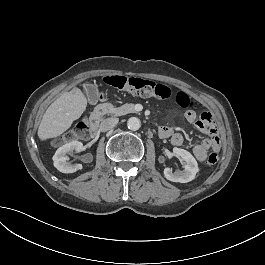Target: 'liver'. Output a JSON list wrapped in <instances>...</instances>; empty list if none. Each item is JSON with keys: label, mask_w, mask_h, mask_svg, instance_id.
<instances>
[{"label": "liver", "mask_w": 265, "mask_h": 265, "mask_svg": "<svg viewBox=\"0 0 265 265\" xmlns=\"http://www.w3.org/2000/svg\"><path fill=\"white\" fill-rule=\"evenodd\" d=\"M87 99L79 88L63 93L44 112L38 126L37 136L41 142L62 135L81 117Z\"/></svg>", "instance_id": "liver-1"}]
</instances>
